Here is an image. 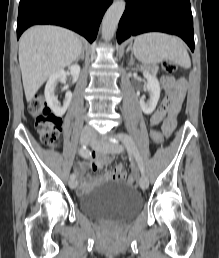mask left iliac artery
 Instances as JSON below:
<instances>
[{"label":"left iliac artery","mask_w":219,"mask_h":258,"mask_svg":"<svg viewBox=\"0 0 219 258\" xmlns=\"http://www.w3.org/2000/svg\"><path fill=\"white\" fill-rule=\"evenodd\" d=\"M118 137L122 140L127 151L135 157L141 173L144 174V172H145L144 165H143L142 159L139 155V152L135 146L133 139L127 134H119Z\"/></svg>","instance_id":"left-iliac-artery-1"}]
</instances>
